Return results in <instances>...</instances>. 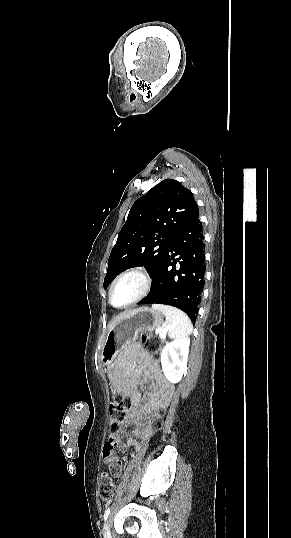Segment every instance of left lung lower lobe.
I'll return each mask as SVG.
<instances>
[{"label":"left lung lower lobe","instance_id":"0a47b994","mask_svg":"<svg viewBox=\"0 0 291 538\" xmlns=\"http://www.w3.org/2000/svg\"><path fill=\"white\" fill-rule=\"evenodd\" d=\"M205 269L204 237L197 211L173 238L154 274L150 293L138 304L171 305L195 322Z\"/></svg>","mask_w":291,"mask_h":538}]
</instances>
